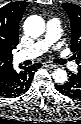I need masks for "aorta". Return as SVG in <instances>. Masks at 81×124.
Here are the masks:
<instances>
[{
  "label": "aorta",
  "instance_id": "762f6f07",
  "mask_svg": "<svg viewBox=\"0 0 81 124\" xmlns=\"http://www.w3.org/2000/svg\"><path fill=\"white\" fill-rule=\"evenodd\" d=\"M24 30L30 37L37 38L44 33L45 22L40 16H30L24 22ZM52 76L57 83H64L67 80V73L64 69H56Z\"/></svg>",
  "mask_w": 81,
  "mask_h": 124
}]
</instances>
